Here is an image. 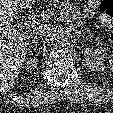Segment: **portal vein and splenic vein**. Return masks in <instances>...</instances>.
<instances>
[{"label":"portal vein and splenic vein","mask_w":113,"mask_h":113,"mask_svg":"<svg viewBox=\"0 0 113 113\" xmlns=\"http://www.w3.org/2000/svg\"><path fill=\"white\" fill-rule=\"evenodd\" d=\"M65 14L64 10H61ZM37 23L36 18L31 16L28 18V21L22 23V27L28 29L30 26H34Z\"/></svg>","instance_id":"portal-vein-and-splenic-vein-1"}]
</instances>
